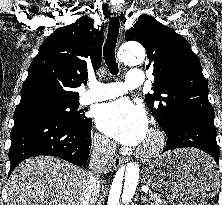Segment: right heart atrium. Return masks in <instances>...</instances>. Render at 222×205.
I'll return each instance as SVG.
<instances>
[{"label":"right heart atrium","mask_w":222,"mask_h":205,"mask_svg":"<svg viewBox=\"0 0 222 205\" xmlns=\"http://www.w3.org/2000/svg\"><path fill=\"white\" fill-rule=\"evenodd\" d=\"M93 142L97 150L103 154H110L112 151V144L109 139L101 133H96L93 137Z\"/></svg>","instance_id":"d8ad5b80"}]
</instances>
